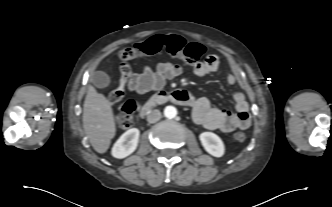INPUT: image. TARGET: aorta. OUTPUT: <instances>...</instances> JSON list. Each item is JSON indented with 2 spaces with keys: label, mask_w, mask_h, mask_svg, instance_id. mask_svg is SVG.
Returning <instances> with one entry per match:
<instances>
[{
  "label": "aorta",
  "mask_w": 332,
  "mask_h": 207,
  "mask_svg": "<svg viewBox=\"0 0 332 207\" xmlns=\"http://www.w3.org/2000/svg\"><path fill=\"white\" fill-rule=\"evenodd\" d=\"M177 115V109L174 106H167L164 109V116L166 118L172 119L175 118Z\"/></svg>",
  "instance_id": "1"
}]
</instances>
